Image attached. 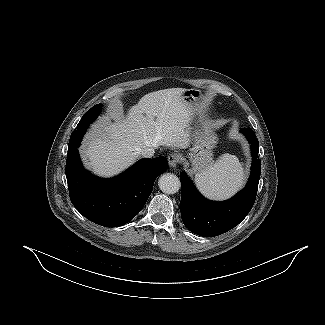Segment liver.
I'll list each match as a JSON object with an SVG mask.
<instances>
[{"instance_id":"liver-1","label":"liver","mask_w":325,"mask_h":325,"mask_svg":"<svg viewBox=\"0 0 325 325\" xmlns=\"http://www.w3.org/2000/svg\"><path fill=\"white\" fill-rule=\"evenodd\" d=\"M187 89L170 88L144 95L127 115L119 105L107 121L88 134L82 150L100 176H113L135 163L139 150L159 146L187 148L195 108L182 98Z\"/></svg>"}]
</instances>
